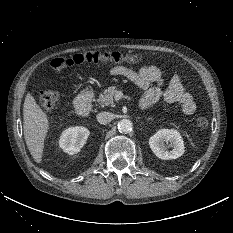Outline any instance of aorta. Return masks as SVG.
I'll use <instances>...</instances> for the list:
<instances>
[{
    "label": "aorta",
    "mask_w": 233,
    "mask_h": 233,
    "mask_svg": "<svg viewBox=\"0 0 233 233\" xmlns=\"http://www.w3.org/2000/svg\"><path fill=\"white\" fill-rule=\"evenodd\" d=\"M133 123L129 119H122L118 122V130L121 133L132 131Z\"/></svg>",
    "instance_id": "aorta-1"
}]
</instances>
